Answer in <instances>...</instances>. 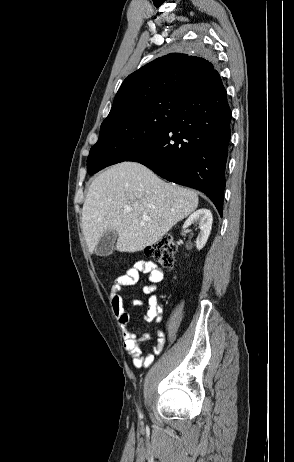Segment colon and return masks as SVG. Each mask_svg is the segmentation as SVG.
Masks as SVG:
<instances>
[{
  "label": "colon",
  "mask_w": 294,
  "mask_h": 462,
  "mask_svg": "<svg viewBox=\"0 0 294 462\" xmlns=\"http://www.w3.org/2000/svg\"><path fill=\"white\" fill-rule=\"evenodd\" d=\"M176 243L171 236H164L156 243L148 246L146 254L156 263L166 268H172L175 264Z\"/></svg>",
  "instance_id": "colon-1"
}]
</instances>
